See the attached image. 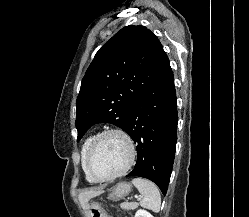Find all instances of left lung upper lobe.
I'll use <instances>...</instances> for the list:
<instances>
[{"mask_svg":"<svg viewBox=\"0 0 249 217\" xmlns=\"http://www.w3.org/2000/svg\"><path fill=\"white\" fill-rule=\"evenodd\" d=\"M168 57L144 26H126L96 53L76 100L79 141L95 123L127 129L132 108L158 77Z\"/></svg>","mask_w":249,"mask_h":217,"instance_id":"obj_1","label":"left lung upper lobe"}]
</instances>
